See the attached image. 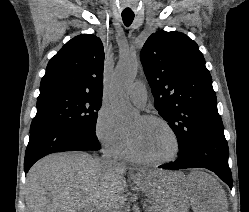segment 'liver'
<instances>
[{"instance_id":"obj_1","label":"liver","mask_w":249,"mask_h":212,"mask_svg":"<svg viewBox=\"0 0 249 212\" xmlns=\"http://www.w3.org/2000/svg\"><path fill=\"white\" fill-rule=\"evenodd\" d=\"M128 168L104 164L86 152L50 154L30 168L26 176L28 212H114L126 188ZM141 192L162 212H228L219 182L203 170L182 172L139 170L131 176Z\"/></svg>"}]
</instances>
